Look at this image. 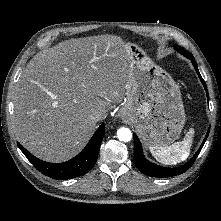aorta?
Returning a JSON list of instances; mask_svg holds the SVG:
<instances>
[{"label": "aorta", "instance_id": "aorta-1", "mask_svg": "<svg viewBox=\"0 0 221 221\" xmlns=\"http://www.w3.org/2000/svg\"><path fill=\"white\" fill-rule=\"evenodd\" d=\"M117 137L122 142H129L132 139V132L128 128L121 127L117 131Z\"/></svg>", "mask_w": 221, "mask_h": 221}]
</instances>
